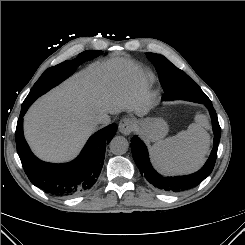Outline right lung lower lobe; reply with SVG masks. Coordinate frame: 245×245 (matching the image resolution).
<instances>
[{
    "label": "right lung lower lobe",
    "instance_id": "98d812e1",
    "mask_svg": "<svg viewBox=\"0 0 245 245\" xmlns=\"http://www.w3.org/2000/svg\"><path fill=\"white\" fill-rule=\"evenodd\" d=\"M92 58L94 57L87 60ZM29 106V104L22 105L15 139L18 155L30 181L55 196H76L90 189L99 176L104 163L105 147L117 131L116 124H111L93 134L81 154L72 162L46 163L34 156L23 135V116Z\"/></svg>",
    "mask_w": 245,
    "mask_h": 245
}]
</instances>
